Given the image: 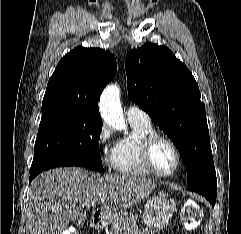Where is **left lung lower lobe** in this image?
Instances as JSON below:
<instances>
[{
	"label": "left lung lower lobe",
	"mask_w": 241,
	"mask_h": 234,
	"mask_svg": "<svg viewBox=\"0 0 241 234\" xmlns=\"http://www.w3.org/2000/svg\"><path fill=\"white\" fill-rule=\"evenodd\" d=\"M209 202L212 204V206H214L215 205V202H216V200H214V199H209Z\"/></svg>",
	"instance_id": "left-lung-lower-lobe-1"
}]
</instances>
